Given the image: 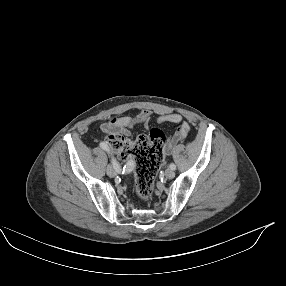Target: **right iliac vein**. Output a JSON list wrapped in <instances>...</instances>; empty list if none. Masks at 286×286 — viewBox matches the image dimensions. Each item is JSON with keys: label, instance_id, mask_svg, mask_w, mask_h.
I'll return each mask as SVG.
<instances>
[{"label": "right iliac vein", "instance_id": "63e3f726", "mask_svg": "<svg viewBox=\"0 0 286 286\" xmlns=\"http://www.w3.org/2000/svg\"><path fill=\"white\" fill-rule=\"evenodd\" d=\"M106 171H107L108 176L110 177H113L116 175V169L112 165H109Z\"/></svg>", "mask_w": 286, "mask_h": 286}]
</instances>
